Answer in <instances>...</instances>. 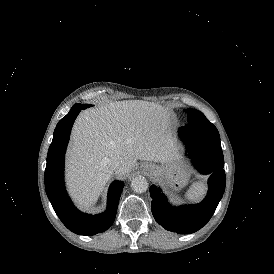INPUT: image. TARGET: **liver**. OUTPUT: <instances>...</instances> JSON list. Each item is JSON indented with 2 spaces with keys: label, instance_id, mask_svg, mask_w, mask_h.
Segmentation results:
<instances>
[{
  "label": "liver",
  "instance_id": "1",
  "mask_svg": "<svg viewBox=\"0 0 274 274\" xmlns=\"http://www.w3.org/2000/svg\"><path fill=\"white\" fill-rule=\"evenodd\" d=\"M170 113L143 100L110 102L76 118L66 160V182L76 205L87 210L115 174L128 176L136 161L165 163L177 153ZM115 159L122 169L113 168Z\"/></svg>",
  "mask_w": 274,
  "mask_h": 274
}]
</instances>
